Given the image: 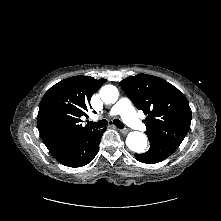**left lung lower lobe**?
I'll return each mask as SVG.
<instances>
[{"label": "left lung lower lobe", "mask_w": 221, "mask_h": 221, "mask_svg": "<svg viewBox=\"0 0 221 221\" xmlns=\"http://www.w3.org/2000/svg\"><path fill=\"white\" fill-rule=\"evenodd\" d=\"M149 141L150 148L147 152L143 154H135V158L142 163L154 164L161 162L168 158L177 149V147L158 139H152Z\"/></svg>", "instance_id": "left-lung-lower-lobe-1"}]
</instances>
